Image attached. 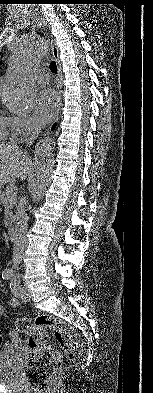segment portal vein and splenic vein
Masks as SVG:
<instances>
[{
	"instance_id": "portal-vein-and-splenic-vein-1",
	"label": "portal vein and splenic vein",
	"mask_w": 153,
	"mask_h": 393,
	"mask_svg": "<svg viewBox=\"0 0 153 393\" xmlns=\"http://www.w3.org/2000/svg\"><path fill=\"white\" fill-rule=\"evenodd\" d=\"M18 188L16 186L12 187L11 190L9 191L10 193H17Z\"/></svg>"
}]
</instances>
